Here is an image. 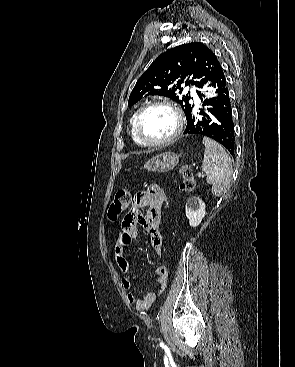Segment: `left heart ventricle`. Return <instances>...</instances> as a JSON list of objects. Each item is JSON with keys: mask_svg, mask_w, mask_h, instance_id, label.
I'll return each instance as SVG.
<instances>
[{"mask_svg": "<svg viewBox=\"0 0 295 367\" xmlns=\"http://www.w3.org/2000/svg\"><path fill=\"white\" fill-rule=\"evenodd\" d=\"M176 128V118L166 107H152L141 118L140 129L149 141H159L169 137Z\"/></svg>", "mask_w": 295, "mask_h": 367, "instance_id": "b2bd125f", "label": "left heart ventricle"}]
</instances>
